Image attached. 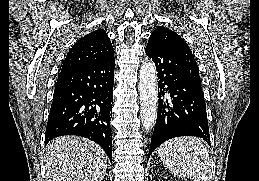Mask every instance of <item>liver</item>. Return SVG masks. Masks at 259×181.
Here are the masks:
<instances>
[{
	"mask_svg": "<svg viewBox=\"0 0 259 181\" xmlns=\"http://www.w3.org/2000/svg\"><path fill=\"white\" fill-rule=\"evenodd\" d=\"M107 155L95 142L77 136L53 139L45 149L46 181H102Z\"/></svg>",
	"mask_w": 259,
	"mask_h": 181,
	"instance_id": "obj_1",
	"label": "liver"
}]
</instances>
